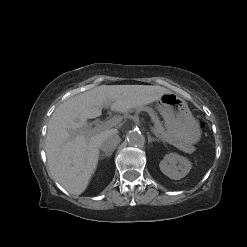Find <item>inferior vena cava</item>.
Listing matches in <instances>:
<instances>
[{
    "mask_svg": "<svg viewBox=\"0 0 247 247\" xmlns=\"http://www.w3.org/2000/svg\"><path fill=\"white\" fill-rule=\"evenodd\" d=\"M120 143V137L117 134L104 137L100 144V149L105 153L113 152Z\"/></svg>",
    "mask_w": 247,
    "mask_h": 247,
    "instance_id": "obj_1",
    "label": "inferior vena cava"
}]
</instances>
